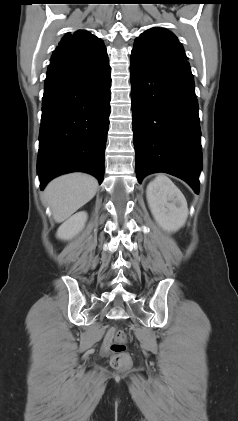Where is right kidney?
Masks as SVG:
<instances>
[{
    "label": "right kidney",
    "mask_w": 238,
    "mask_h": 421,
    "mask_svg": "<svg viewBox=\"0 0 238 421\" xmlns=\"http://www.w3.org/2000/svg\"><path fill=\"white\" fill-rule=\"evenodd\" d=\"M87 213L78 212L66 220L57 230V238L61 240H70L76 236L85 226Z\"/></svg>",
    "instance_id": "right-kidney-1"
}]
</instances>
